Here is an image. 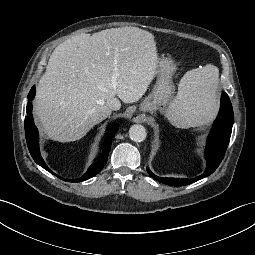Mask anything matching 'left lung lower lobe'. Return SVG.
Here are the masks:
<instances>
[{
	"mask_svg": "<svg viewBox=\"0 0 255 255\" xmlns=\"http://www.w3.org/2000/svg\"><path fill=\"white\" fill-rule=\"evenodd\" d=\"M234 121L233 109L226 93L222 94L219 115L207 139L205 172L192 179L161 178L154 175L148 168L147 172L155 180L167 185H188L212 174L222 161L228 147Z\"/></svg>",
	"mask_w": 255,
	"mask_h": 255,
	"instance_id": "0a47b994",
	"label": "left lung lower lobe"
}]
</instances>
